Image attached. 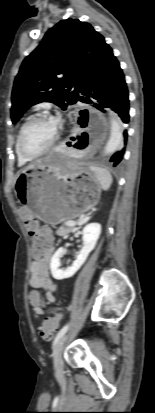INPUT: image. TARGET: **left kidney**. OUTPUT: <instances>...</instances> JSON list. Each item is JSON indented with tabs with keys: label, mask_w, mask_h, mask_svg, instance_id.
<instances>
[{
	"label": "left kidney",
	"mask_w": 155,
	"mask_h": 413,
	"mask_svg": "<svg viewBox=\"0 0 155 413\" xmlns=\"http://www.w3.org/2000/svg\"><path fill=\"white\" fill-rule=\"evenodd\" d=\"M101 233L99 223H90L83 228L82 239L83 247L76 257L73 264L66 269H60V258L63 255V248H59L51 258L50 269L52 276L57 280H63L72 277L84 264L89 253L95 248Z\"/></svg>",
	"instance_id": "5707ae66"
}]
</instances>
